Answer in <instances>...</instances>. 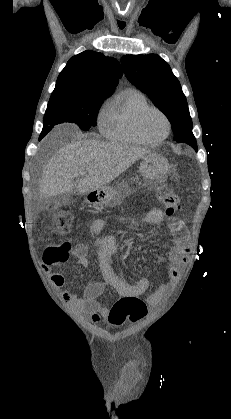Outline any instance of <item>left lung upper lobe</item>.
I'll return each mask as SVG.
<instances>
[{"label":"left lung upper lobe","mask_w":231,"mask_h":419,"mask_svg":"<svg viewBox=\"0 0 231 419\" xmlns=\"http://www.w3.org/2000/svg\"><path fill=\"white\" fill-rule=\"evenodd\" d=\"M127 79L153 101L172 124L176 142L197 151L186 97L170 66L156 54L125 55L121 58Z\"/></svg>","instance_id":"5c2ea615"}]
</instances>
